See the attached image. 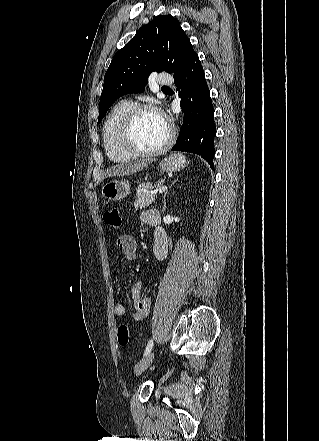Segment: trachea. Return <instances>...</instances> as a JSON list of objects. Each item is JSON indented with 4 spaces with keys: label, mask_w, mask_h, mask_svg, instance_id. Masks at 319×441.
<instances>
[{
    "label": "trachea",
    "mask_w": 319,
    "mask_h": 441,
    "mask_svg": "<svg viewBox=\"0 0 319 441\" xmlns=\"http://www.w3.org/2000/svg\"><path fill=\"white\" fill-rule=\"evenodd\" d=\"M162 89H169V87H167V86H164V87H162Z\"/></svg>",
    "instance_id": "obj_1"
}]
</instances>
